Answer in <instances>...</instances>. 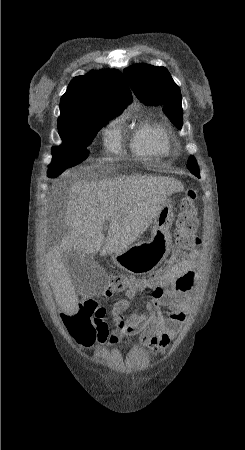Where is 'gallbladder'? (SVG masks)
<instances>
[{
	"label": "gallbladder",
	"mask_w": 245,
	"mask_h": 450,
	"mask_svg": "<svg viewBox=\"0 0 245 450\" xmlns=\"http://www.w3.org/2000/svg\"><path fill=\"white\" fill-rule=\"evenodd\" d=\"M93 262L92 256L79 251H71L65 256L68 274L75 284H77L82 272Z\"/></svg>",
	"instance_id": "bac80fb5"
}]
</instances>
